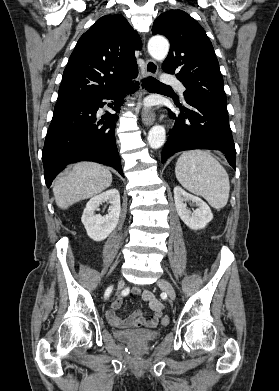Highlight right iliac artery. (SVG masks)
I'll return each mask as SVG.
<instances>
[{
  "label": "right iliac artery",
  "instance_id": "82829eb1",
  "mask_svg": "<svg viewBox=\"0 0 279 391\" xmlns=\"http://www.w3.org/2000/svg\"><path fill=\"white\" fill-rule=\"evenodd\" d=\"M111 291H112V286L109 287V288H107V290H106V292H105V297H106V298L109 297Z\"/></svg>",
  "mask_w": 279,
  "mask_h": 391
}]
</instances>
